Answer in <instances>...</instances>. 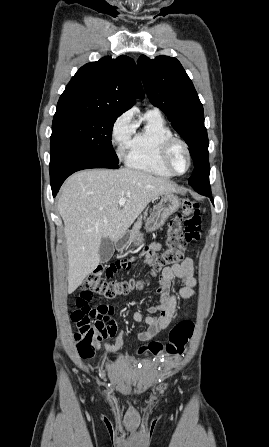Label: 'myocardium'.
<instances>
[{
	"instance_id": "obj_1",
	"label": "myocardium",
	"mask_w": 269,
	"mask_h": 447,
	"mask_svg": "<svg viewBox=\"0 0 269 447\" xmlns=\"http://www.w3.org/2000/svg\"><path fill=\"white\" fill-rule=\"evenodd\" d=\"M177 146H181L185 150V152L187 154V158H188L187 169L183 172L177 171L173 165V162H172V154H173L175 147H177ZM161 159H162L163 164L174 175H183V174L187 173L191 167V162H192L191 152H190V148H189L188 144L185 141H183L182 139H179L175 136L169 138L168 140H166L164 142V144L162 146Z\"/></svg>"
}]
</instances>
